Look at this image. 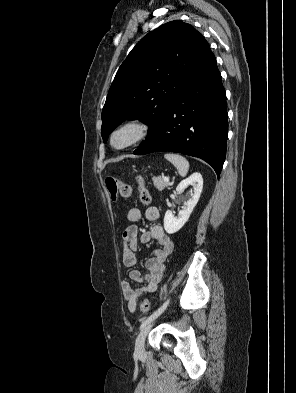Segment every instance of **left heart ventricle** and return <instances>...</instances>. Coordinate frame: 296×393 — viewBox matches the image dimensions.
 I'll use <instances>...</instances> for the list:
<instances>
[{"instance_id":"obj_1","label":"left heart ventricle","mask_w":296,"mask_h":393,"mask_svg":"<svg viewBox=\"0 0 296 393\" xmlns=\"http://www.w3.org/2000/svg\"><path fill=\"white\" fill-rule=\"evenodd\" d=\"M133 136V131L130 129H124L122 131H119L115 136H114V144L116 146H122L126 144Z\"/></svg>"}]
</instances>
